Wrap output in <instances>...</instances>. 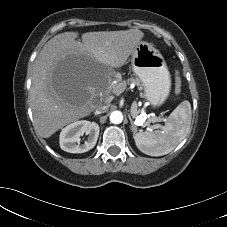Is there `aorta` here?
<instances>
[{
	"label": "aorta",
	"instance_id": "aorta-1",
	"mask_svg": "<svg viewBox=\"0 0 227 227\" xmlns=\"http://www.w3.org/2000/svg\"><path fill=\"white\" fill-rule=\"evenodd\" d=\"M110 121L113 124H120L123 121V114L121 111H113L110 114Z\"/></svg>",
	"mask_w": 227,
	"mask_h": 227
}]
</instances>
